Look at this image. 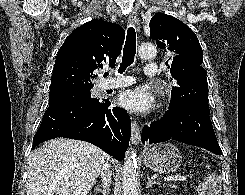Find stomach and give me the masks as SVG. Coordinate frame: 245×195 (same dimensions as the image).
<instances>
[{
    "mask_svg": "<svg viewBox=\"0 0 245 195\" xmlns=\"http://www.w3.org/2000/svg\"><path fill=\"white\" fill-rule=\"evenodd\" d=\"M144 164L158 173L175 172L182 162L179 149L171 143H162L146 150L143 154Z\"/></svg>",
    "mask_w": 245,
    "mask_h": 195,
    "instance_id": "0dacf381",
    "label": "stomach"
}]
</instances>
